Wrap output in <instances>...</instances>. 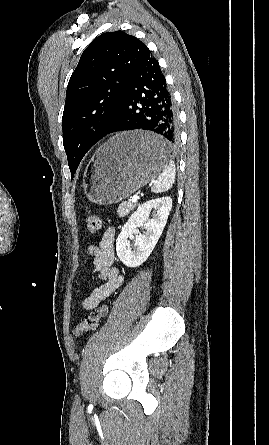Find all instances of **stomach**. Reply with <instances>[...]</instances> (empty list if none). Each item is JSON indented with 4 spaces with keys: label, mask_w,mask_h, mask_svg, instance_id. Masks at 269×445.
I'll return each mask as SVG.
<instances>
[{
    "label": "stomach",
    "mask_w": 269,
    "mask_h": 445,
    "mask_svg": "<svg viewBox=\"0 0 269 445\" xmlns=\"http://www.w3.org/2000/svg\"><path fill=\"white\" fill-rule=\"evenodd\" d=\"M169 161L161 137L138 130L118 133L93 156L84 180L87 197L104 206L118 203L151 182Z\"/></svg>",
    "instance_id": "1"
}]
</instances>
